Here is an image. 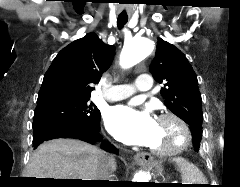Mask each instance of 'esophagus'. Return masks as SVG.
Masks as SVG:
<instances>
[{"mask_svg":"<svg viewBox=\"0 0 240 187\" xmlns=\"http://www.w3.org/2000/svg\"><path fill=\"white\" fill-rule=\"evenodd\" d=\"M134 160L139 164H149L152 162L153 157L149 153H137L134 156Z\"/></svg>","mask_w":240,"mask_h":187,"instance_id":"esophagus-1","label":"esophagus"}]
</instances>
